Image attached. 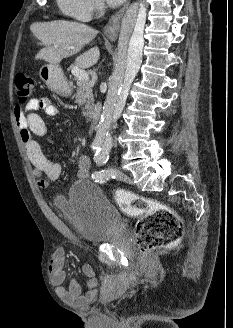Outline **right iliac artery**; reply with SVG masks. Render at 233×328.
<instances>
[{"label":"right iliac artery","instance_id":"82829eb1","mask_svg":"<svg viewBox=\"0 0 233 328\" xmlns=\"http://www.w3.org/2000/svg\"><path fill=\"white\" fill-rule=\"evenodd\" d=\"M92 147H93L94 150H98V149L100 148V147L97 146V145H93Z\"/></svg>","mask_w":233,"mask_h":328}]
</instances>
